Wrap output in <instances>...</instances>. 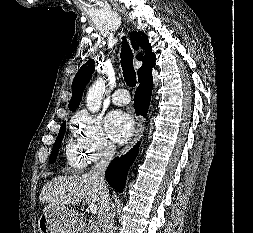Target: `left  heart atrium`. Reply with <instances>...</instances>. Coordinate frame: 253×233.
<instances>
[{"instance_id":"left-heart-atrium-1","label":"left heart atrium","mask_w":253,"mask_h":233,"mask_svg":"<svg viewBox=\"0 0 253 233\" xmlns=\"http://www.w3.org/2000/svg\"><path fill=\"white\" fill-rule=\"evenodd\" d=\"M106 130L115 143H125L132 135L134 122L132 117L122 111H112L105 119Z\"/></svg>"}]
</instances>
